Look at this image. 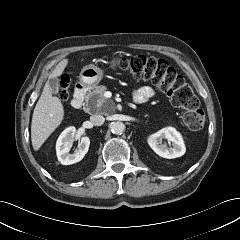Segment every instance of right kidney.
Segmentation results:
<instances>
[{
  "mask_svg": "<svg viewBox=\"0 0 240 240\" xmlns=\"http://www.w3.org/2000/svg\"><path fill=\"white\" fill-rule=\"evenodd\" d=\"M76 136V128L71 126L66 128L59 136L56 142V153L58 160L63 165H70L79 162L88 152L90 146V139L84 136L80 139L78 150L70 154V144Z\"/></svg>",
  "mask_w": 240,
  "mask_h": 240,
  "instance_id": "1",
  "label": "right kidney"
}]
</instances>
